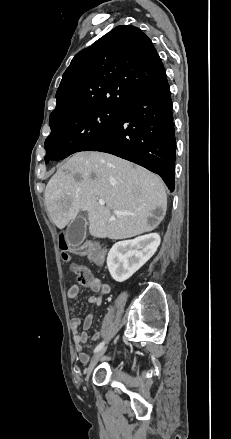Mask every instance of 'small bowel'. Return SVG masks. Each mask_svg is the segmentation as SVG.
Here are the masks:
<instances>
[{
  "instance_id": "obj_1",
  "label": "small bowel",
  "mask_w": 231,
  "mask_h": 439,
  "mask_svg": "<svg viewBox=\"0 0 231 439\" xmlns=\"http://www.w3.org/2000/svg\"><path fill=\"white\" fill-rule=\"evenodd\" d=\"M94 292V295L88 298V303L92 307H100L103 297L110 292V285L103 283L98 277L91 274V280L86 285H83ZM80 291V285H72L66 294L68 301L75 299ZM93 314H88L84 319L73 318L70 321V328L72 332L75 351L81 362L86 363L89 360V355L84 351V345L89 340L88 332L93 324ZM101 337V332H95L92 336L93 340H98Z\"/></svg>"
}]
</instances>
